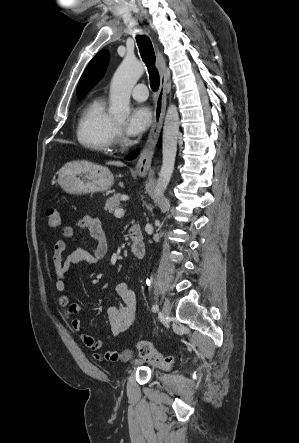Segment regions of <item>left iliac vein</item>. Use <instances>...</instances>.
I'll list each match as a JSON object with an SVG mask.
<instances>
[{
	"label": "left iliac vein",
	"mask_w": 299,
	"mask_h": 443,
	"mask_svg": "<svg viewBox=\"0 0 299 443\" xmlns=\"http://www.w3.org/2000/svg\"><path fill=\"white\" fill-rule=\"evenodd\" d=\"M171 311L170 302L168 299L164 301L163 307H162V315L166 319L169 317Z\"/></svg>",
	"instance_id": "left-iliac-vein-1"
}]
</instances>
